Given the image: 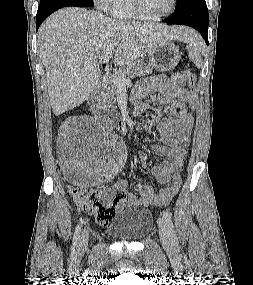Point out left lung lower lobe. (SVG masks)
<instances>
[{
	"mask_svg": "<svg viewBox=\"0 0 253 285\" xmlns=\"http://www.w3.org/2000/svg\"><path fill=\"white\" fill-rule=\"evenodd\" d=\"M163 22L193 27L201 33L208 45V9L205 0H185Z\"/></svg>",
	"mask_w": 253,
	"mask_h": 285,
	"instance_id": "obj_1",
	"label": "left lung lower lobe"
}]
</instances>
